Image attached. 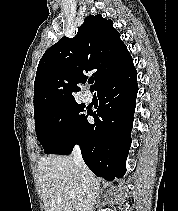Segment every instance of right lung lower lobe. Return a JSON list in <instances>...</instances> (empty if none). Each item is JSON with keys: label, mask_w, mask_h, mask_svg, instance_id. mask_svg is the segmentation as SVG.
Here are the masks:
<instances>
[{"label": "right lung lower lobe", "mask_w": 178, "mask_h": 211, "mask_svg": "<svg viewBox=\"0 0 178 211\" xmlns=\"http://www.w3.org/2000/svg\"><path fill=\"white\" fill-rule=\"evenodd\" d=\"M97 91L99 107L94 114L89 113L95 123L86 118L73 139L52 154H70L79 144L86 165L96 176L110 181L126 172L138 92L136 69L104 83Z\"/></svg>", "instance_id": "98d812e1"}]
</instances>
